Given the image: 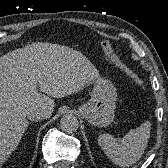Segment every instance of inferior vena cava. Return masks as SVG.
I'll return each mask as SVG.
<instances>
[{"label":"inferior vena cava","instance_id":"obj_1","mask_svg":"<svg viewBox=\"0 0 168 168\" xmlns=\"http://www.w3.org/2000/svg\"><path fill=\"white\" fill-rule=\"evenodd\" d=\"M48 117L49 115L44 110L38 108H34L27 113V118L31 121H40Z\"/></svg>","mask_w":168,"mask_h":168}]
</instances>
